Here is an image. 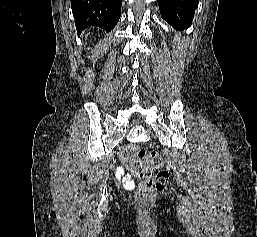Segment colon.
I'll return each mask as SVG.
<instances>
[{
  "mask_svg": "<svg viewBox=\"0 0 257 237\" xmlns=\"http://www.w3.org/2000/svg\"><path fill=\"white\" fill-rule=\"evenodd\" d=\"M124 154L137 158V160L129 162L132 173L142 178L136 193V200L139 205H148L154 195L166 187L170 179L169 172L161 168L163 158L157 152H151L146 156V150L137 144L127 145ZM142 159L145 161L143 162ZM155 169L157 171H154Z\"/></svg>",
  "mask_w": 257,
  "mask_h": 237,
  "instance_id": "5ec220e1",
  "label": "colon"
}]
</instances>
